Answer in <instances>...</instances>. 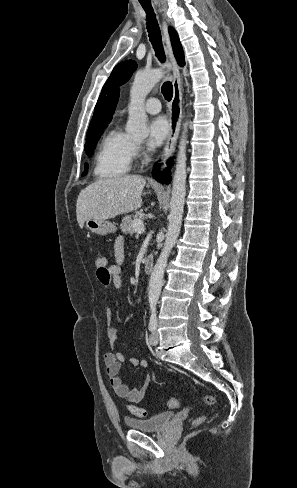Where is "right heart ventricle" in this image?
I'll return each instance as SVG.
<instances>
[{"instance_id":"e07e8e85","label":"right heart ventricle","mask_w":297,"mask_h":488,"mask_svg":"<svg viewBox=\"0 0 297 488\" xmlns=\"http://www.w3.org/2000/svg\"><path fill=\"white\" fill-rule=\"evenodd\" d=\"M130 137L111 129L99 143L94 162V174L98 178L114 179L128 172L132 162Z\"/></svg>"}]
</instances>
